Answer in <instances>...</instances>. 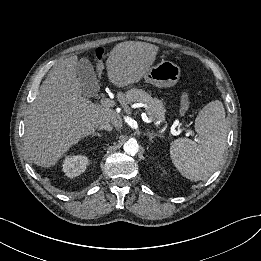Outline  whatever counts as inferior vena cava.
<instances>
[{"label": "inferior vena cava", "instance_id": "inferior-vena-cava-1", "mask_svg": "<svg viewBox=\"0 0 261 261\" xmlns=\"http://www.w3.org/2000/svg\"><path fill=\"white\" fill-rule=\"evenodd\" d=\"M99 129L101 130H107V131H112L113 126L109 122H103L99 125Z\"/></svg>", "mask_w": 261, "mask_h": 261}]
</instances>
